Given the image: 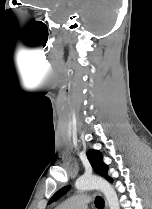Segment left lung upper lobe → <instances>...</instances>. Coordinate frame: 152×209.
Segmentation results:
<instances>
[{"instance_id":"5c2ea615","label":"left lung upper lobe","mask_w":152,"mask_h":209,"mask_svg":"<svg viewBox=\"0 0 152 209\" xmlns=\"http://www.w3.org/2000/svg\"><path fill=\"white\" fill-rule=\"evenodd\" d=\"M87 158L91 164V166L93 167L94 171L103 176L106 180H108L109 182H112V178H110L108 176V166L102 161V154L99 151L96 150H89L87 152ZM70 189V186H65L63 188H61L59 191H57L52 198L50 199L49 203L54 202L55 200H57L58 198H60L62 195H64L65 193L68 192V190Z\"/></svg>"}]
</instances>
